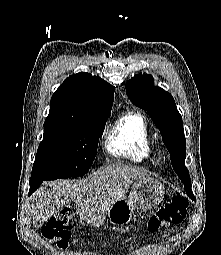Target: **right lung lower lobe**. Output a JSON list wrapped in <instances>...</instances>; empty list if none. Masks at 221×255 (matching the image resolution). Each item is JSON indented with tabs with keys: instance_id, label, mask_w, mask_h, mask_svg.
<instances>
[{
	"instance_id": "98d812e1",
	"label": "right lung lower lobe",
	"mask_w": 221,
	"mask_h": 255,
	"mask_svg": "<svg viewBox=\"0 0 221 255\" xmlns=\"http://www.w3.org/2000/svg\"><path fill=\"white\" fill-rule=\"evenodd\" d=\"M43 180H30L29 195H31L41 185Z\"/></svg>"
}]
</instances>
